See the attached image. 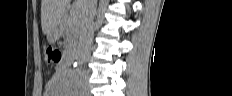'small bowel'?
Here are the masks:
<instances>
[{"label":"small bowel","mask_w":232,"mask_h":96,"mask_svg":"<svg viewBox=\"0 0 232 96\" xmlns=\"http://www.w3.org/2000/svg\"><path fill=\"white\" fill-rule=\"evenodd\" d=\"M59 69H60V67L58 66V67H57V70H59Z\"/></svg>","instance_id":"small-bowel-1"}]
</instances>
